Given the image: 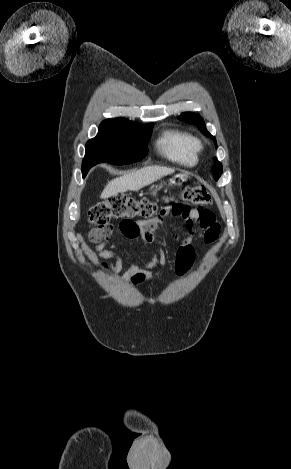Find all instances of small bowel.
<instances>
[{
    "label": "small bowel",
    "instance_id": "1",
    "mask_svg": "<svg viewBox=\"0 0 291 469\" xmlns=\"http://www.w3.org/2000/svg\"><path fill=\"white\" fill-rule=\"evenodd\" d=\"M171 217L178 218L181 223V230H174L172 236L178 242L175 273L178 276H183L190 271L195 259V250L192 245V241L196 233L195 224L198 223V225L205 231V243L212 244L218 239L220 226L216 222L211 211L202 212L199 209H189L187 213H180L174 216L166 215L148 220L123 221L119 225V230L126 239H140L146 245H149L156 240L157 231L164 226L165 219ZM211 229H215L214 233L208 234ZM113 230L114 225H111V230L108 234H101L98 230L94 229L90 232L89 239L95 244L94 249L100 258L113 260L110 268L112 272L122 280L128 281L132 284H137L143 280V272L145 270L157 265L165 264L164 256L158 255L156 252L151 250V260L147 264L140 266L132 263L125 273L119 276V273L123 268V260L117 252L115 245L111 243Z\"/></svg>",
    "mask_w": 291,
    "mask_h": 469
}]
</instances>
